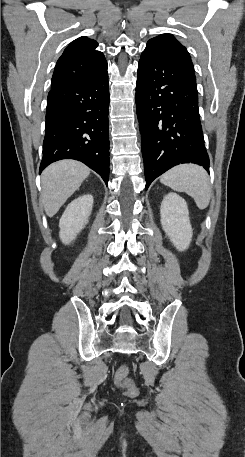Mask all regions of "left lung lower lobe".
I'll return each mask as SVG.
<instances>
[{
	"instance_id": "obj_1",
	"label": "left lung lower lobe",
	"mask_w": 245,
	"mask_h": 457,
	"mask_svg": "<svg viewBox=\"0 0 245 457\" xmlns=\"http://www.w3.org/2000/svg\"><path fill=\"white\" fill-rule=\"evenodd\" d=\"M136 107L146 189L181 163H195L209 172L194 69L174 42L159 41L142 52Z\"/></svg>"
}]
</instances>
